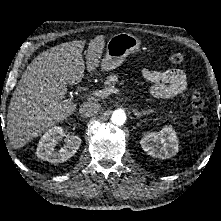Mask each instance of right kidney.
Wrapping results in <instances>:
<instances>
[{"label":"right kidney","mask_w":221,"mask_h":221,"mask_svg":"<svg viewBox=\"0 0 221 221\" xmlns=\"http://www.w3.org/2000/svg\"><path fill=\"white\" fill-rule=\"evenodd\" d=\"M63 136L64 132L60 126L52 127L45 132L37 147V157L50 163H62L71 158L79 149L81 138L73 135L66 136L64 139L65 145L60 150L56 151V143Z\"/></svg>","instance_id":"1"}]
</instances>
